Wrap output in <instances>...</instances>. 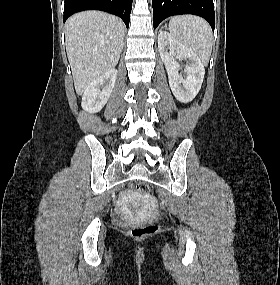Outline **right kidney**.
Listing matches in <instances>:
<instances>
[{
  "instance_id": "right-kidney-1",
  "label": "right kidney",
  "mask_w": 280,
  "mask_h": 285,
  "mask_svg": "<svg viewBox=\"0 0 280 285\" xmlns=\"http://www.w3.org/2000/svg\"><path fill=\"white\" fill-rule=\"evenodd\" d=\"M117 77V70L111 69L93 82L85 89L81 106L89 113L99 112L107 103Z\"/></svg>"
}]
</instances>
